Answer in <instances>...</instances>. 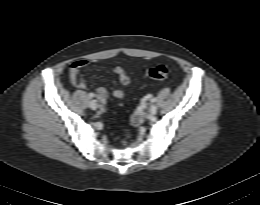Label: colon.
Masks as SVG:
<instances>
[{
    "instance_id": "obj_1",
    "label": "colon",
    "mask_w": 260,
    "mask_h": 205,
    "mask_svg": "<svg viewBox=\"0 0 260 205\" xmlns=\"http://www.w3.org/2000/svg\"><path fill=\"white\" fill-rule=\"evenodd\" d=\"M147 75L155 80H166L169 77V68L164 64H159L147 70Z\"/></svg>"
}]
</instances>
